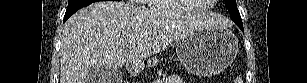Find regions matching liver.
<instances>
[{
  "label": "liver",
  "instance_id": "1",
  "mask_svg": "<svg viewBox=\"0 0 307 83\" xmlns=\"http://www.w3.org/2000/svg\"><path fill=\"white\" fill-rule=\"evenodd\" d=\"M216 21L210 14L144 10L127 2H96L65 22L60 83H87L94 67L118 69L130 62L136 69L143 68V59Z\"/></svg>",
  "mask_w": 307,
  "mask_h": 83
}]
</instances>
